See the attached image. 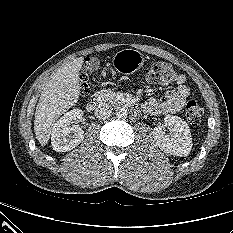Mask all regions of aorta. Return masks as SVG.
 Listing matches in <instances>:
<instances>
[{
	"mask_svg": "<svg viewBox=\"0 0 233 233\" xmlns=\"http://www.w3.org/2000/svg\"><path fill=\"white\" fill-rule=\"evenodd\" d=\"M115 113L117 118H126L128 115L127 109L125 107H117Z\"/></svg>",
	"mask_w": 233,
	"mask_h": 233,
	"instance_id": "obj_1",
	"label": "aorta"
}]
</instances>
